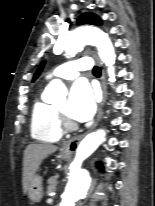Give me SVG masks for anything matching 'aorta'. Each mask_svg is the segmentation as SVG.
Returning a JSON list of instances; mask_svg holds the SVG:
<instances>
[{
  "label": "aorta",
  "mask_w": 155,
  "mask_h": 206,
  "mask_svg": "<svg viewBox=\"0 0 155 206\" xmlns=\"http://www.w3.org/2000/svg\"><path fill=\"white\" fill-rule=\"evenodd\" d=\"M85 45H94L98 49L100 59L107 66L109 81L115 82L114 64L116 55L108 35L95 27H79L70 32L66 39L65 53L72 57L80 52ZM64 88L62 82L54 79L46 88V98L54 103L61 96ZM105 131L97 130L88 134L79 144L75 158L70 166V176L59 206H75L84 197L90 187V177L87 171L81 169L82 162L88 158L105 140Z\"/></svg>",
  "instance_id": "762f6f07"
}]
</instances>
